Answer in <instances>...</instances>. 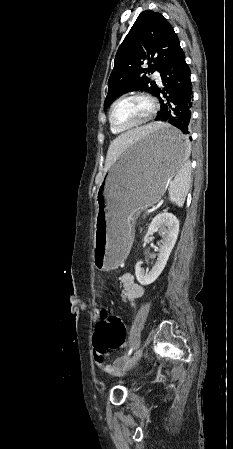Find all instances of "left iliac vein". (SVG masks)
<instances>
[{
    "instance_id": "1",
    "label": "left iliac vein",
    "mask_w": 233,
    "mask_h": 449,
    "mask_svg": "<svg viewBox=\"0 0 233 449\" xmlns=\"http://www.w3.org/2000/svg\"><path fill=\"white\" fill-rule=\"evenodd\" d=\"M142 354H143V348H140L139 350H137V351L135 352V354H134L132 357H130V358L128 359V361H127V363L125 364L123 370H126L127 368H129L130 366H132L133 364H135V363L139 360V358L142 356Z\"/></svg>"
}]
</instances>
